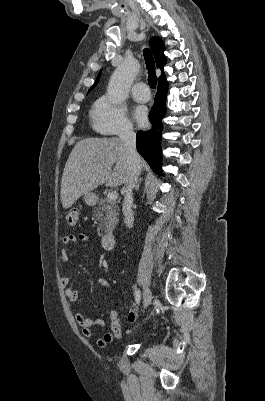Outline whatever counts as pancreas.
Segmentation results:
<instances>
[{"label": "pancreas", "mask_w": 265, "mask_h": 401, "mask_svg": "<svg viewBox=\"0 0 265 401\" xmlns=\"http://www.w3.org/2000/svg\"><path fill=\"white\" fill-rule=\"evenodd\" d=\"M118 211L116 201H112V198H100L98 207H95V211H93V217L98 221L99 237H102L100 231L109 233L117 225L119 221Z\"/></svg>", "instance_id": "obj_1"}]
</instances>
